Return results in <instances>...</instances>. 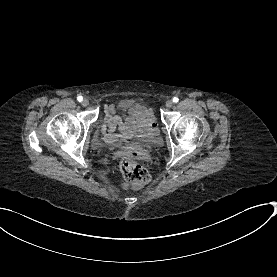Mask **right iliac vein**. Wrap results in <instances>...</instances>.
<instances>
[{"mask_svg":"<svg viewBox=\"0 0 277 277\" xmlns=\"http://www.w3.org/2000/svg\"><path fill=\"white\" fill-rule=\"evenodd\" d=\"M82 105H83V106H88V105H89L88 99H84V100L82 101Z\"/></svg>","mask_w":277,"mask_h":277,"instance_id":"obj_1","label":"right iliac vein"}]
</instances>
